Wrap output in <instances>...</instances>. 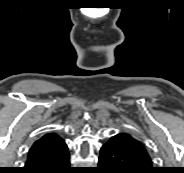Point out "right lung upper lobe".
Returning <instances> with one entry per match:
<instances>
[{
	"instance_id": "right-lung-upper-lobe-1",
	"label": "right lung upper lobe",
	"mask_w": 184,
	"mask_h": 173,
	"mask_svg": "<svg viewBox=\"0 0 184 173\" xmlns=\"http://www.w3.org/2000/svg\"><path fill=\"white\" fill-rule=\"evenodd\" d=\"M66 146L64 140L56 133H47L31 147L28 158L51 155Z\"/></svg>"
}]
</instances>
